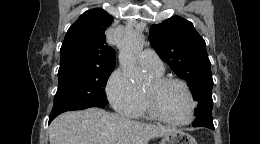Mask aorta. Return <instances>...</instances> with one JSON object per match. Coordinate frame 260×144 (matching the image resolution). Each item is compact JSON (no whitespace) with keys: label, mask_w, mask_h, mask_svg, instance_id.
<instances>
[{"label":"aorta","mask_w":260,"mask_h":144,"mask_svg":"<svg viewBox=\"0 0 260 144\" xmlns=\"http://www.w3.org/2000/svg\"><path fill=\"white\" fill-rule=\"evenodd\" d=\"M119 48V63L124 74L133 83H141L145 74L137 65V59L143 48L142 34L135 30L124 32L119 42Z\"/></svg>","instance_id":"aorta-1"}]
</instances>
